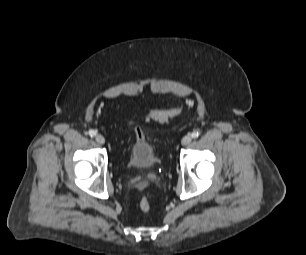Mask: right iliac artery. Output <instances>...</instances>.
I'll return each mask as SVG.
<instances>
[{"label": "right iliac artery", "mask_w": 306, "mask_h": 255, "mask_svg": "<svg viewBox=\"0 0 306 255\" xmlns=\"http://www.w3.org/2000/svg\"><path fill=\"white\" fill-rule=\"evenodd\" d=\"M89 135H90V136H95V135H96V131H94V130H89Z\"/></svg>", "instance_id": "right-iliac-artery-1"}]
</instances>
